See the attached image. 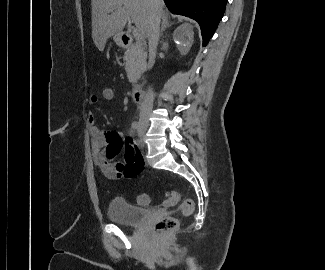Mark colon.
Returning <instances> with one entry per match:
<instances>
[{"instance_id":"5ec220e1","label":"colon","mask_w":325,"mask_h":270,"mask_svg":"<svg viewBox=\"0 0 325 270\" xmlns=\"http://www.w3.org/2000/svg\"><path fill=\"white\" fill-rule=\"evenodd\" d=\"M102 99L106 102H113L116 99V91L111 86H106L102 90ZM179 194L175 191L168 192L164 205L166 207H172L179 203ZM140 205H147L149 203V196L145 193L140 194L137 198ZM179 212L184 216H189L194 210V203L191 199H184L178 206ZM179 227V220L175 217L168 216L156 223L154 231L158 234L172 232Z\"/></svg>"}]
</instances>
